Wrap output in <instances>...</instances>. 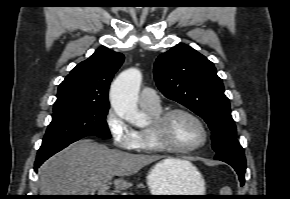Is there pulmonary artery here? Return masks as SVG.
<instances>
[{"mask_svg":"<svg viewBox=\"0 0 290 199\" xmlns=\"http://www.w3.org/2000/svg\"><path fill=\"white\" fill-rule=\"evenodd\" d=\"M139 104L142 108L159 109L160 99L150 87H144L139 94Z\"/></svg>","mask_w":290,"mask_h":199,"instance_id":"1","label":"pulmonary artery"}]
</instances>
